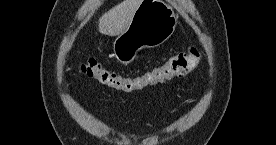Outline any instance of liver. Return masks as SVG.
Returning a JSON list of instances; mask_svg holds the SVG:
<instances>
[{
	"instance_id": "1",
	"label": "liver",
	"mask_w": 276,
	"mask_h": 145,
	"mask_svg": "<svg viewBox=\"0 0 276 145\" xmlns=\"http://www.w3.org/2000/svg\"><path fill=\"white\" fill-rule=\"evenodd\" d=\"M141 1L142 0H123L104 13L99 19V32L109 36H117L123 33L129 26Z\"/></svg>"
}]
</instances>
